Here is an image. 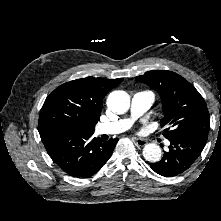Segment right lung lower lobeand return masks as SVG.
<instances>
[{"mask_svg": "<svg viewBox=\"0 0 221 221\" xmlns=\"http://www.w3.org/2000/svg\"><path fill=\"white\" fill-rule=\"evenodd\" d=\"M93 133L48 130L40 132V137L51 159L64 172L86 178L107 162L118 141L96 139Z\"/></svg>", "mask_w": 221, "mask_h": 221, "instance_id": "98d812e1", "label": "right lung lower lobe"}]
</instances>
